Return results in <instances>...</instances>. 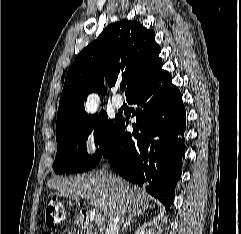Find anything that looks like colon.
Returning <instances> with one entry per match:
<instances>
[{
    "label": "colon",
    "mask_w": 241,
    "mask_h": 234,
    "mask_svg": "<svg viewBox=\"0 0 241 234\" xmlns=\"http://www.w3.org/2000/svg\"><path fill=\"white\" fill-rule=\"evenodd\" d=\"M67 217V211L65 207L55 198L51 197L47 201L45 210V223L47 227L53 228L59 224H62Z\"/></svg>",
    "instance_id": "1"
}]
</instances>
